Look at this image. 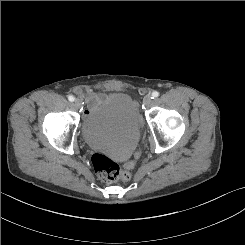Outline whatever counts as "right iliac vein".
Instances as JSON below:
<instances>
[{"instance_id": "obj_1", "label": "right iliac vein", "mask_w": 245, "mask_h": 245, "mask_svg": "<svg viewBox=\"0 0 245 245\" xmlns=\"http://www.w3.org/2000/svg\"><path fill=\"white\" fill-rule=\"evenodd\" d=\"M74 104H75V106H77V107H81V105H82L80 99H76V100L74 101Z\"/></svg>"}]
</instances>
